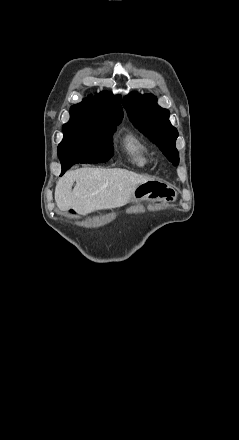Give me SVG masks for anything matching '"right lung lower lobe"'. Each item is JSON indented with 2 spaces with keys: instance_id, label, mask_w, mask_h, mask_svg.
Segmentation results:
<instances>
[{
  "instance_id": "98d812e1",
  "label": "right lung lower lobe",
  "mask_w": 239,
  "mask_h": 440,
  "mask_svg": "<svg viewBox=\"0 0 239 440\" xmlns=\"http://www.w3.org/2000/svg\"><path fill=\"white\" fill-rule=\"evenodd\" d=\"M113 155V149L99 148L95 146L70 147L58 152L62 165L63 175L72 165L78 163L106 162Z\"/></svg>"
}]
</instances>
